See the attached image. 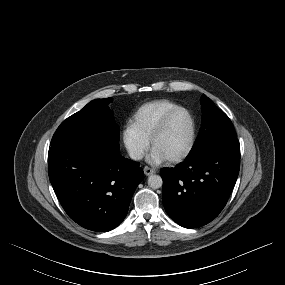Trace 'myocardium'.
<instances>
[{"label": "myocardium", "mask_w": 285, "mask_h": 285, "mask_svg": "<svg viewBox=\"0 0 285 285\" xmlns=\"http://www.w3.org/2000/svg\"><path fill=\"white\" fill-rule=\"evenodd\" d=\"M178 112H185L188 115L191 122V132L186 149L180 155L170 159H166L167 163L169 164H177L184 161L193 151L197 139V123L194 115L189 109L182 106H178L167 112L158 123L157 127L155 128L150 137L151 148L154 149V144L156 140L163 134L172 117Z\"/></svg>", "instance_id": "myocardium-1"}]
</instances>
